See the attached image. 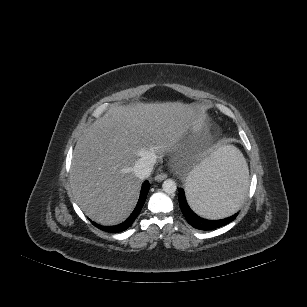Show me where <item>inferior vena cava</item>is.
I'll list each match as a JSON object with an SVG mask.
<instances>
[{
	"mask_svg": "<svg viewBox=\"0 0 307 307\" xmlns=\"http://www.w3.org/2000/svg\"><path fill=\"white\" fill-rule=\"evenodd\" d=\"M155 162L156 155L153 153H149L146 156L138 159L133 166L135 175L140 179L149 177Z\"/></svg>",
	"mask_w": 307,
	"mask_h": 307,
	"instance_id": "602c4592",
	"label": "inferior vena cava"
}]
</instances>
